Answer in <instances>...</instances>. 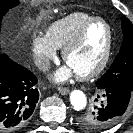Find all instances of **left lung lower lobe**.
<instances>
[{"label": "left lung lower lobe", "mask_w": 133, "mask_h": 133, "mask_svg": "<svg viewBox=\"0 0 133 133\" xmlns=\"http://www.w3.org/2000/svg\"><path fill=\"white\" fill-rule=\"evenodd\" d=\"M102 92L105 99L101 105L96 107L93 118L98 123H106L109 128L118 122L126 112L133 91L122 86H107L102 89Z\"/></svg>", "instance_id": "1"}]
</instances>
